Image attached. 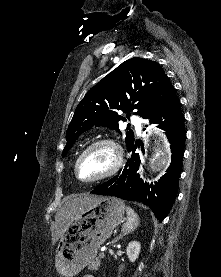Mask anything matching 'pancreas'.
<instances>
[{
    "label": "pancreas",
    "instance_id": "pancreas-1",
    "mask_svg": "<svg viewBox=\"0 0 221 277\" xmlns=\"http://www.w3.org/2000/svg\"><path fill=\"white\" fill-rule=\"evenodd\" d=\"M101 256H99L98 258L94 259L91 264L88 266L89 270H98V268L101 265Z\"/></svg>",
    "mask_w": 221,
    "mask_h": 277
}]
</instances>
